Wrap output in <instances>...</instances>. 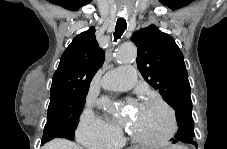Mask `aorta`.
I'll list each match as a JSON object with an SVG mask.
<instances>
[{
	"label": "aorta",
	"mask_w": 227,
	"mask_h": 149,
	"mask_svg": "<svg viewBox=\"0 0 227 149\" xmlns=\"http://www.w3.org/2000/svg\"><path fill=\"white\" fill-rule=\"evenodd\" d=\"M137 56L136 48L133 46H122L116 53V58L122 63H130Z\"/></svg>",
	"instance_id": "aorta-1"
}]
</instances>
